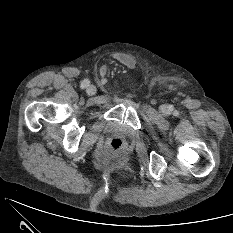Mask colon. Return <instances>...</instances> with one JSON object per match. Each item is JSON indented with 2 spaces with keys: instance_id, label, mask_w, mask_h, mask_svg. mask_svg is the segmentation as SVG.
Returning <instances> with one entry per match:
<instances>
[{
  "instance_id": "obj_1",
  "label": "colon",
  "mask_w": 233,
  "mask_h": 233,
  "mask_svg": "<svg viewBox=\"0 0 233 233\" xmlns=\"http://www.w3.org/2000/svg\"><path fill=\"white\" fill-rule=\"evenodd\" d=\"M107 147L112 153H118L124 148V141L120 138H111L107 142Z\"/></svg>"
}]
</instances>
